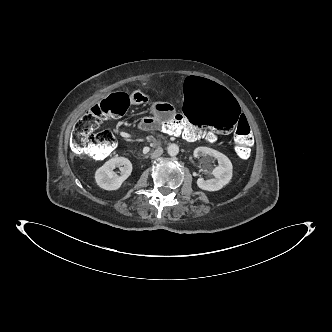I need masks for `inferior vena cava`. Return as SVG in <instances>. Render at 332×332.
Instances as JSON below:
<instances>
[{"label":"inferior vena cava","mask_w":332,"mask_h":332,"mask_svg":"<svg viewBox=\"0 0 332 332\" xmlns=\"http://www.w3.org/2000/svg\"><path fill=\"white\" fill-rule=\"evenodd\" d=\"M163 153V149L161 147H158L152 154H151V158H157L159 157L161 154Z\"/></svg>","instance_id":"inferior-vena-cava-1"}]
</instances>
